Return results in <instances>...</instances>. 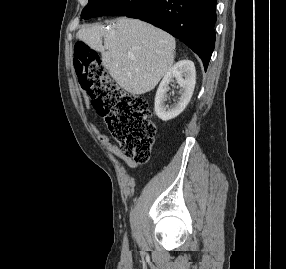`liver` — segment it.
Returning <instances> with one entry per match:
<instances>
[{"instance_id": "obj_1", "label": "liver", "mask_w": 286, "mask_h": 269, "mask_svg": "<svg viewBox=\"0 0 286 269\" xmlns=\"http://www.w3.org/2000/svg\"><path fill=\"white\" fill-rule=\"evenodd\" d=\"M76 36L101 52L102 63L111 77L134 95L154 89L173 64L175 39L138 19L119 18L109 30L100 24L92 25L80 29Z\"/></svg>"}]
</instances>
